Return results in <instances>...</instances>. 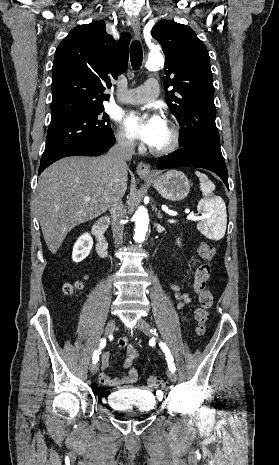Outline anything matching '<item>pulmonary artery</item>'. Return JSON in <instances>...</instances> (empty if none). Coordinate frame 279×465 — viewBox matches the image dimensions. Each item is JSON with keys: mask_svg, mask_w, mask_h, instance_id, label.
<instances>
[{"mask_svg": "<svg viewBox=\"0 0 279 465\" xmlns=\"http://www.w3.org/2000/svg\"><path fill=\"white\" fill-rule=\"evenodd\" d=\"M159 94V85L156 79H148L143 85L128 90L119 97V101L127 104H140L153 101Z\"/></svg>", "mask_w": 279, "mask_h": 465, "instance_id": "pulmonary-artery-1", "label": "pulmonary artery"}]
</instances>
